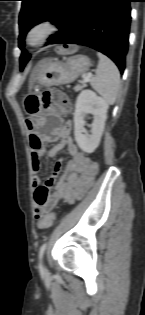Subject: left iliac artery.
<instances>
[{
	"label": "left iliac artery",
	"mask_w": 145,
	"mask_h": 315,
	"mask_svg": "<svg viewBox=\"0 0 145 315\" xmlns=\"http://www.w3.org/2000/svg\"><path fill=\"white\" fill-rule=\"evenodd\" d=\"M46 247H47V242H44L41 247H40V250H39V261H40V266H41V260H42V257H43V254L46 250Z\"/></svg>",
	"instance_id": "obj_1"
}]
</instances>
